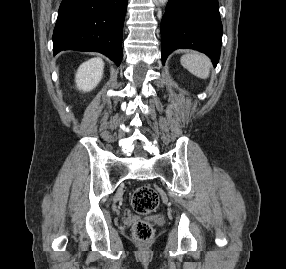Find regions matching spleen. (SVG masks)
I'll use <instances>...</instances> for the list:
<instances>
[{"instance_id":"obj_1","label":"spleen","mask_w":286,"mask_h":269,"mask_svg":"<svg viewBox=\"0 0 286 269\" xmlns=\"http://www.w3.org/2000/svg\"><path fill=\"white\" fill-rule=\"evenodd\" d=\"M181 64L193 75L207 79L210 71V60L203 54L192 52L181 57Z\"/></svg>"}]
</instances>
